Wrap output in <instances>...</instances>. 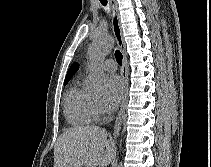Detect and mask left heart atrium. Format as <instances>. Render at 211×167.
I'll return each instance as SVG.
<instances>
[{
	"label": "left heart atrium",
	"instance_id": "obj_1",
	"mask_svg": "<svg viewBox=\"0 0 211 167\" xmlns=\"http://www.w3.org/2000/svg\"><path fill=\"white\" fill-rule=\"evenodd\" d=\"M124 91V84L116 75L106 78L105 104L107 108L114 109L120 103Z\"/></svg>",
	"mask_w": 211,
	"mask_h": 167
}]
</instances>
